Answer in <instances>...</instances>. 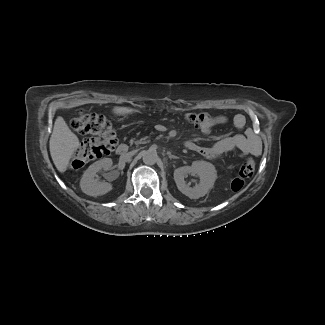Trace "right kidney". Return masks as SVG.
<instances>
[{"instance_id":"1","label":"right kidney","mask_w":325,"mask_h":325,"mask_svg":"<svg viewBox=\"0 0 325 325\" xmlns=\"http://www.w3.org/2000/svg\"><path fill=\"white\" fill-rule=\"evenodd\" d=\"M113 162L110 158H104L94 162L88 167L84 172L81 181L80 187L83 193L89 196H100L108 193L112 190V185L108 182H98L95 178L97 172L100 170H109Z\"/></svg>"}]
</instances>
